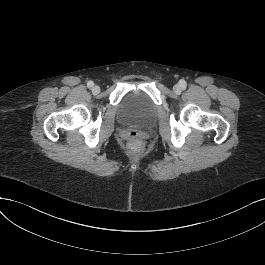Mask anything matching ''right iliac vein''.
Returning <instances> with one entry per match:
<instances>
[{
    "label": "right iliac vein",
    "instance_id": "right-iliac-vein-1",
    "mask_svg": "<svg viewBox=\"0 0 265 265\" xmlns=\"http://www.w3.org/2000/svg\"><path fill=\"white\" fill-rule=\"evenodd\" d=\"M92 92L94 94H98L100 92V87L98 85H95L93 88H92Z\"/></svg>",
    "mask_w": 265,
    "mask_h": 265
}]
</instances>
